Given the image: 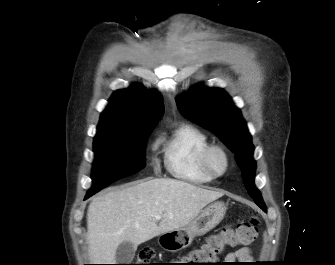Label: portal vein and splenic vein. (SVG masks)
Wrapping results in <instances>:
<instances>
[{
    "instance_id": "18ae733b",
    "label": "portal vein and splenic vein",
    "mask_w": 335,
    "mask_h": 265,
    "mask_svg": "<svg viewBox=\"0 0 335 265\" xmlns=\"http://www.w3.org/2000/svg\"><path fill=\"white\" fill-rule=\"evenodd\" d=\"M154 217L158 221L162 218V215L161 214H156Z\"/></svg>"
}]
</instances>
